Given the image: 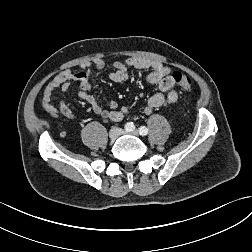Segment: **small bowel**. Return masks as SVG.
<instances>
[{
  "instance_id": "small-bowel-1",
  "label": "small bowel",
  "mask_w": 252,
  "mask_h": 252,
  "mask_svg": "<svg viewBox=\"0 0 252 252\" xmlns=\"http://www.w3.org/2000/svg\"><path fill=\"white\" fill-rule=\"evenodd\" d=\"M114 69L109 73V79L116 83L124 82L128 79V68L147 70L146 80L157 85L159 91L152 95L143 107V112L150 115L154 110L172 105L178 100V92L174 87V80L171 75V69L157 61L147 60L143 58H128L124 63L115 62ZM82 69L79 72L72 73L64 71L59 73L44 89L42 105L44 109L54 116H64L68 119H76V115L72 109L63 101L60 100L55 106L51 103L53 93L60 88L66 93L73 82H78V96L87 102L91 110L105 119L113 121L122 120L129 111V106L119 105L115 101H111L107 108L101 107L96 98L91 94V75L92 69L103 70L105 62L102 59H95L92 62H82Z\"/></svg>"
}]
</instances>
